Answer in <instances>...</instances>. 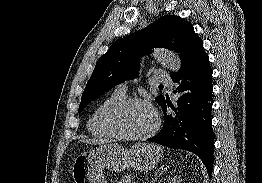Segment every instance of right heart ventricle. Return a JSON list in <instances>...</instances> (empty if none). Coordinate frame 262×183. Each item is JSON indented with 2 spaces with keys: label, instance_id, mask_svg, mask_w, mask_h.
I'll return each mask as SVG.
<instances>
[{
  "label": "right heart ventricle",
  "instance_id": "e07e8e85",
  "mask_svg": "<svg viewBox=\"0 0 262 183\" xmlns=\"http://www.w3.org/2000/svg\"><path fill=\"white\" fill-rule=\"evenodd\" d=\"M124 98V94L115 91L97 105L87 122L88 131L93 136L102 139L115 137L106 125V114L111 107Z\"/></svg>",
  "mask_w": 262,
  "mask_h": 183
}]
</instances>
